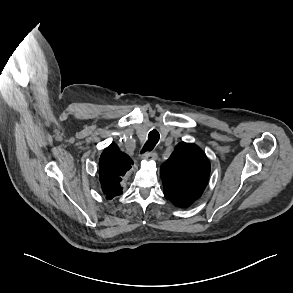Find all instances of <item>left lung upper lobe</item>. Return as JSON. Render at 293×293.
Instances as JSON below:
<instances>
[{
    "instance_id": "1",
    "label": "left lung upper lobe",
    "mask_w": 293,
    "mask_h": 293,
    "mask_svg": "<svg viewBox=\"0 0 293 293\" xmlns=\"http://www.w3.org/2000/svg\"><path fill=\"white\" fill-rule=\"evenodd\" d=\"M210 174V162L195 144L179 143L160 167L164 195L176 206L187 208L203 193Z\"/></svg>"
}]
</instances>
